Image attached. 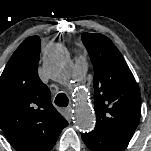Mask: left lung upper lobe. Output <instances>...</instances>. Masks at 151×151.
<instances>
[{"label": "left lung upper lobe", "instance_id": "left-lung-upper-lobe-1", "mask_svg": "<svg viewBox=\"0 0 151 151\" xmlns=\"http://www.w3.org/2000/svg\"><path fill=\"white\" fill-rule=\"evenodd\" d=\"M94 67V131L132 137L141 114V95L132 72L112 41L96 33H83Z\"/></svg>", "mask_w": 151, "mask_h": 151}]
</instances>
